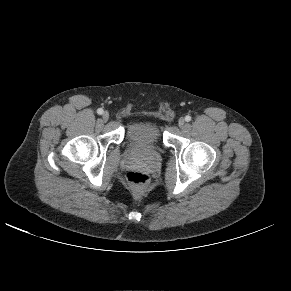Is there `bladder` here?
Returning a JSON list of instances; mask_svg holds the SVG:
<instances>
[{
	"label": "bladder",
	"instance_id": "bladder-1",
	"mask_svg": "<svg viewBox=\"0 0 291 291\" xmlns=\"http://www.w3.org/2000/svg\"><path fill=\"white\" fill-rule=\"evenodd\" d=\"M126 136L135 145H156L161 142L163 131L156 121L138 120L127 127Z\"/></svg>",
	"mask_w": 291,
	"mask_h": 291
}]
</instances>
